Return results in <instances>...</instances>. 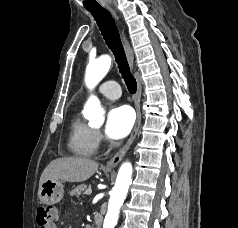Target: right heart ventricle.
Listing matches in <instances>:
<instances>
[{
	"label": "right heart ventricle",
	"mask_w": 238,
	"mask_h": 228,
	"mask_svg": "<svg viewBox=\"0 0 238 228\" xmlns=\"http://www.w3.org/2000/svg\"><path fill=\"white\" fill-rule=\"evenodd\" d=\"M68 147L72 154L81 157H91L97 152L95 130L78 113L70 120Z\"/></svg>",
	"instance_id": "obj_1"
}]
</instances>
